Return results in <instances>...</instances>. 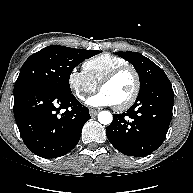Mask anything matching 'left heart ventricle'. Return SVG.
<instances>
[{
    "instance_id": "obj_1",
    "label": "left heart ventricle",
    "mask_w": 193,
    "mask_h": 193,
    "mask_svg": "<svg viewBox=\"0 0 193 193\" xmlns=\"http://www.w3.org/2000/svg\"><path fill=\"white\" fill-rule=\"evenodd\" d=\"M134 86L135 79L133 73L131 71H124L111 82L104 85L100 91L106 93L114 105H119L131 96Z\"/></svg>"
}]
</instances>
